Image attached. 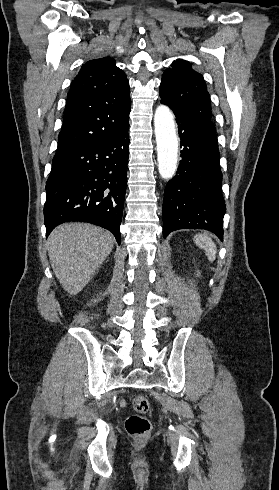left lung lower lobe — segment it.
<instances>
[{
    "label": "left lung lower lobe",
    "instance_id": "0a47b994",
    "mask_svg": "<svg viewBox=\"0 0 279 490\" xmlns=\"http://www.w3.org/2000/svg\"><path fill=\"white\" fill-rule=\"evenodd\" d=\"M172 110L183 150L178 171L164 192L163 236L178 229H205L222 241L226 205L214 124Z\"/></svg>",
    "mask_w": 279,
    "mask_h": 490
}]
</instances>
